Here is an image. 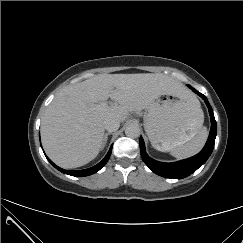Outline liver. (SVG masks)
<instances>
[{"label": "liver", "instance_id": "liver-1", "mask_svg": "<svg viewBox=\"0 0 243 243\" xmlns=\"http://www.w3.org/2000/svg\"><path fill=\"white\" fill-rule=\"evenodd\" d=\"M189 91L161 73L99 74L57 93L42 119L41 138L46 154L70 169L92 161L103 145L104 121L123 122L133 111L147 109L158 97H185ZM115 104L99 109L108 98Z\"/></svg>", "mask_w": 243, "mask_h": 243}]
</instances>
